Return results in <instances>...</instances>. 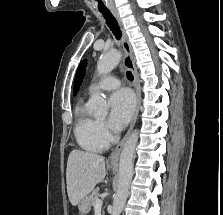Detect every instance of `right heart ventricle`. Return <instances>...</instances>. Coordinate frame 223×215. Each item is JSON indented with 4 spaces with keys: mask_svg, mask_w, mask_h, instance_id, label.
<instances>
[{
    "mask_svg": "<svg viewBox=\"0 0 223 215\" xmlns=\"http://www.w3.org/2000/svg\"><path fill=\"white\" fill-rule=\"evenodd\" d=\"M74 136L78 145L88 152H102L108 148L107 138L100 132L97 118L88 113L83 104L75 111Z\"/></svg>",
    "mask_w": 223,
    "mask_h": 215,
    "instance_id": "1",
    "label": "right heart ventricle"
}]
</instances>
